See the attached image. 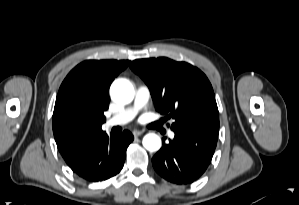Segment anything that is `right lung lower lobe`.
<instances>
[{
  "mask_svg": "<svg viewBox=\"0 0 299 205\" xmlns=\"http://www.w3.org/2000/svg\"><path fill=\"white\" fill-rule=\"evenodd\" d=\"M133 139L127 130L120 136L106 134L82 148L67 164L87 181L107 180L121 171L127 147Z\"/></svg>",
  "mask_w": 299,
  "mask_h": 205,
  "instance_id": "1",
  "label": "right lung lower lobe"
}]
</instances>
